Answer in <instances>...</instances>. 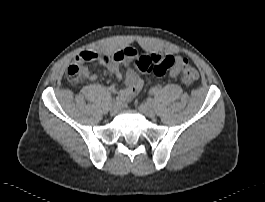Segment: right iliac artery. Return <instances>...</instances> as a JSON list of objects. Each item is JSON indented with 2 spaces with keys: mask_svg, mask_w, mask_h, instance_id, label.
Masks as SVG:
<instances>
[{
  "mask_svg": "<svg viewBox=\"0 0 265 202\" xmlns=\"http://www.w3.org/2000/svg\"><path fill=\"white\" fill-rule=\"evenodd\" d=\"M114 103L121 104L123 102V99L120 96H117L113 100Z\"/></svg>",
  "mask_w": 265,
  "mask_h": 202,
  "instance_id": "82829eb1",
  "label": "right iliac artery"
}]
</instances>
